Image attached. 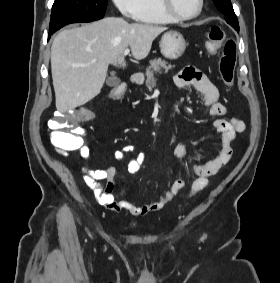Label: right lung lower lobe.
Returning a JSON list of instances; mask_svg holds the SVG:
<instances>
[{
    "mask_svg": "<svg viewBox=\"0 0 280 283\" xmlns=\"http://www.w3.org/2000/svg\"><path fill=\"white\" fill-rule=\"evenodd\" d=\"M60 28H62V27H60ZM60 28H56V29H54V30H50L49 35H48V39L50 38V36H51L54 32H56V31L59 30Z\"/></svg>",
    "mask_w": 280,
    "mask_h": 283,
    "instance_id": "1",
    "label": "right lung lower lobe"
}]
</instances>
